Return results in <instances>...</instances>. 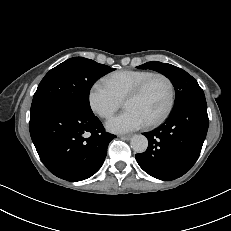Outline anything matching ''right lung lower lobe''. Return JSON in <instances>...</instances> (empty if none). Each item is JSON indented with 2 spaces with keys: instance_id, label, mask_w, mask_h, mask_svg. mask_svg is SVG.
Wrapping results in <instances>:
<instances>
[{
  "instance_id": "right-lung-lower-lobe-1",
  "label": "right lung lower lobe",
  "mask_w": 231,
  "mask_h": 231,
  "mask_svg": "<svg viewBox=\"0 0 231 231\" xmlns=\"http://www.w3.org/2000/svg\"><path fill=\"white\" fill-rule=\"evenodd\" d=\"M30 135L46 168L67 181H81L102 166L109 142L92 111L71 102H60L30 119Z\"/></svg>"
}]
</instances>
